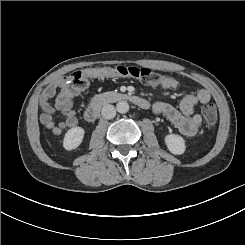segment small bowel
I'll list each match as a JSON object with an SVG mask.
<instances>
[{"instance_id": "1", "label": "small bowel", "mask_w": 245, "mask_h": 245, "mask_svg": "<svg viewBox=\"0 0 245 245\" xmlns=\"http://www.w3.org/2000/svg\"><path fill=\"white\" fill-rule=\"evenodd\" d=\"M161 87L164 89H176L178 82L173 78H167ZM76 94V91L65 86L63 80L55 81L43 91L40 99L42 109L40 121L53 134L60 135L66 129L74 128L77 125L78 120L73 109V101ZM54 97L56 99L53 107L50 105L49 100ZM209 101V92L205 89H200L195 94L185 96L180 103L179 110L164 102L154 103L152 110L155 114L164 115L184 136L194 137L198 134L202 122L200 115L195 112V107L197 104H206ZM54 109L65 116L63 121L54 119Z\"/></svg>"}]
</instances>
